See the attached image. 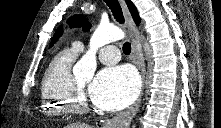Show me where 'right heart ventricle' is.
<instances>
[{
    "mask_svg": "<svg viewBox=\"0 0 221 128\" xmlns=\"http://www.w3.org/2000/svg\"><path fill=\"white\" fill-rule=\"evenodd\" d=\"M79 51L72 46L57 53L48 64L41 83L40 113L61 117L71 112V91L76 82L73 63Z\"/></svg>",
    "mask_w": 221,
    "mask_h": 128,
    "instance_id": "e07e8e85",
    "label": "right heart ventricle"
}]
</instances>
